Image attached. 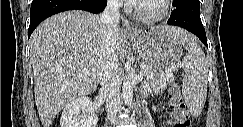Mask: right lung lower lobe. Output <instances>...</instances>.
<instances>
[{
	"label": "right lung lower lobe",
	"mask_w": 243,
	"mask_h": 127,
	"mask_svg": "<svg viewBox=\"0 0 243 127\" xmlns=\"http://www.w3.org/2000/svg\"><path fill=\"white\" fill-rule=\"evenodd\" d=\"M105 5L106 0H33L30 10L28 38L43 20L56 13L74 9L100 13Z\"/></svg>",
	"instance_id": "98d812e1"
}]
</instances>
